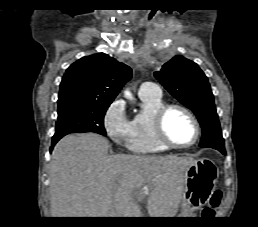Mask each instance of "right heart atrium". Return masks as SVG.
<instances>
[{
    "label": "right heart atrium",
    "mask_w": 258,
    "mask_h": 227,
    "mask_svg": "<svg viewBox=\"0 0 258 227\" xmlns=\"http://www.w3.org/2000/svg\"><path fill=\"white\" fill-rule=\"evenodd\" d=\"M103 126L112 141L121 143L128 139L130 120L126 115L122 100H115L109 105L103 118Z\"/></svg>",
    "instance_id": "d8ad5b80"
}]
</instances>
